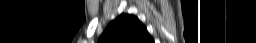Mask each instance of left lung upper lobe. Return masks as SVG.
<instances>
[{"instance_id": "obj_1", "label": "left lung upper lobe", "mask_w": 256, "mask_h": 43, "mask_svg": "<svg viewBox=\"0 0 256 43\" xmlns=\"http://www.w3.org/2000/svg\"><path fill=\"white\" fill-rule=\"evenodd\" d=\"M98 43H154V40L136 16L121 14L110 22Z\"/></svg>"}]
</instances>
